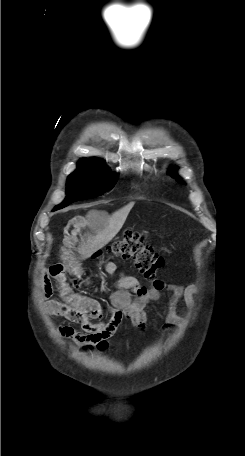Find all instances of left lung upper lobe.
Masks as SVG:
<instances>
[{"label": "left lung upper lobe", "mask_w": 245, "mask_h": 456, "mask_svg": "<svg viewBox=\"0 0 245 456\" xmlns=\"http://www.w3.org/2000/svg\"><path fill=\"white\" fill-rule=\"evenodd\" d=\"M175 170H176L175 167L172 168V169L168 172V174H169L171 177L175 178L178 182L181 183L182 181H181V179L176 175Z\"/></svg>", "instance_id": "5c2ea615"}]
</instances>
